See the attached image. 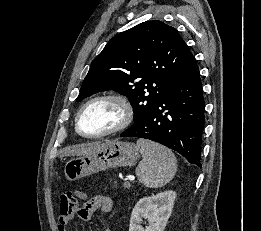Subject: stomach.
<instances>
[{"label":"stomach","instance_id":"1","mask_svg":"<svg viewBox=\"0 0 261 231\" xmlns=\"http://www.w3.org/2000/svg\"><path fill=\"white\" fill-rule=\"evenodd\" d=\"M140 150L132 142L113 141L105 148L68 160L64 166V174L67 180L76 181L85 176L102 170L134 166Z\"/></svg>","mask_w":261,"mask_h":231}]
</instances>
